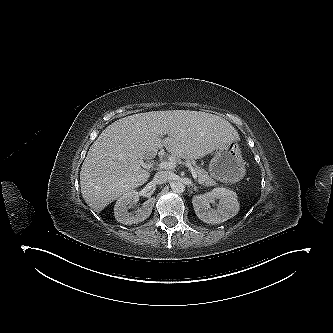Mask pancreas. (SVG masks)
Instances as JSON below:
<instances>
[{"instance_id":"pancreas-1","label":"pancreas","mask_w":333,"mask_h":333,"mask_svg":"<svg viewBox=\"0 0 333 333\" xmlns=\"http://www.w3.org/2000/svg\"><path fill=\"white\" fill-rule=\"evenodd\" d=\"M192 165L193 168L196 171V174L198 176V183L203 185V186H215L216 181L212 179V177L208 174L206 170L203 168L199 167L196 165L195 161H189Z\"/></svg>"}]
</instances>
